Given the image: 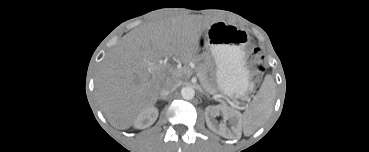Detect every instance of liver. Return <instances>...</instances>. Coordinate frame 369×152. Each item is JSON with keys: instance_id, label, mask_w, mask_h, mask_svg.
<instances>
[{"instance_id": "obj_1", "label": "liver", "mask_w": 369, "mask_h": 152, "mask_svg": "<svg viewBox=\"0 0 369 152\" xmlns=\"http://www.w3.org/2000/svg\"><path fill=\"white\" fill-rule=\"evenodd\" d=\"M208 26L173 17L122 37L102 62L95 85L98 102L113 127L130 128L143 110L154 106L166 80L177 81L183 73L159 61L169 56L190 61Z\"/></svg>"}]
</instances>
